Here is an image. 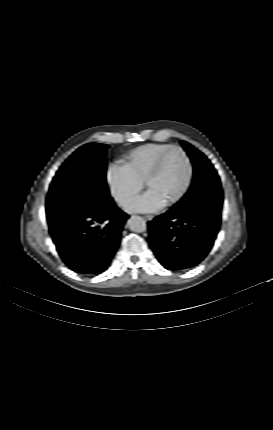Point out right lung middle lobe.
<instances>
[{
    "label": "right lung middle lobe",
    "mask_w": 273,
    "mask_h": 430,
    "mask_svg": "<svg viewBox=\"0 0 273 430\" xmlns=\"http://www.w3.org/2000/svg\"><path fill=\"white\" fill-rule=\"evenodd\" d=\"M108 147L96 143L83 145L60 167L47 196L48 218L89 203L113 201L106 184Z\"/></svg>",
    "instance_id": "1"
}]
</instances>
